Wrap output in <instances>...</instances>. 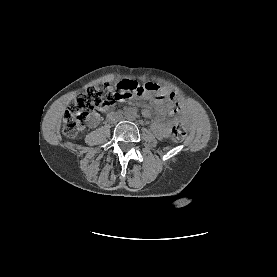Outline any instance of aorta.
<instances>
[{"label": "aorta", "instance_id": "762f6f07", "mask_svg": "<svg viewBox=\"0 0 277 277\" xmlns=\"http://www.w3.org/2000/svg\"><path fill=\"white\" fill-rule=\"evenodd\" d=\"M124 114L125 118L130 121L135 120L137 117V111L134 108H128Z\"/></svg>", "mask_w": 277, "mask_h": 277}]
</instances>
